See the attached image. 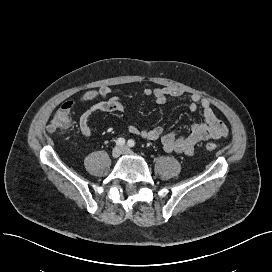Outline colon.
Listing matches in <instances>:
<instances>
[{"label": "colon", "instance_id": "colon-1", "mask_svg": "<svg viewBox=\"0 0 272 272\" xmlns=\"http://www.w3.org/2000/svg\"><path fill=\"white\" fill-rule=\"evenodd\" d=\"M70 108L68 106L61 107L51 119L48 125V131L55 133L58 131L66 130L71 125ZM201 148L206 151H213L216 148L214 143H205L201 145Z\"/></svg>", "mask_w": 272, "mask_h": 272}]
</instances>
